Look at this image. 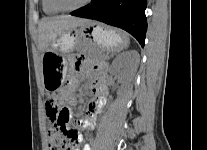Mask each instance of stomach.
<instances>
[{
    "instance_id": "stomach-1",
    "label": "stomach",
    "mask_w": 207,
    "mask_h": 150,
    "mask_svg": "<svg viewBox=\"0 0 207 150\" xmlns=\"http://www.w3.org/2000/svg\"><path fill=\"white\" fill-rule=\"evenodd\" d=\"M129 44L128 36L121 31L89 22L56 36L43 54V78L48 90L64 84L66 56L80 48L94 61H103L105 52H116ZM87 46V47H85Z\"/></svg>"
}]
</instances>
